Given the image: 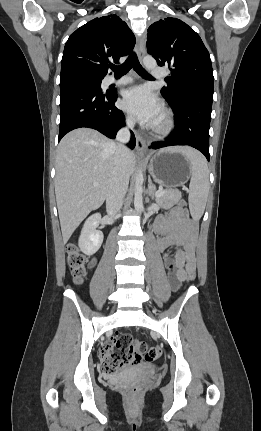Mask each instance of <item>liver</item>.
Wrapping results in <instances>:
<instances>
[{"instance_id": "6515ba94", "label": "liver", "mask_w": 261, "mask_h": 431, "mask_svg": "<svg viewBox=\"0 0 261 431\" xmlns=\"http://www.w3.org/2000/svg\"><path fill=\"white\" fill-rule=\"evenodd\" d=\"M116 144L96 130L79 128L60 141L56 156L55 195L63 243L107 197L113 178ZM136 158L126 156V170L134 171ZM98 183L94 187V183Z\"/></svg>"}]
</instances>
